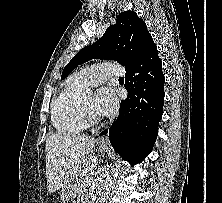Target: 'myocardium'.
<instances>
[{"mask_svg": "<svg viewBox=\"0 0 222 203\" xmlns=\"http://www.w3.org/2000/svg\"><path fill=\"white\" fill-rule=\"evenodd\" d=\"M81 111L83 118L88 125H95L99 123L100 118L94 114H92L85 105L84 98L81 100Z\"/></svg>", "mask_w": 222, "mask_h": 203, "instance_id": "obj_1", "label": "myocardium"}]
</instances>
